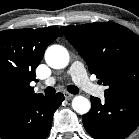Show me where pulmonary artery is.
Masks as SVG:
<instances>
[{"mask_svg": "<svg viewBox=\"0 0 139 139\" xmlns=\"http://www.w3.org/2000/svg\"><path fill=\"white\" fill-rule=\"evenodd\" d=\"M68 74L72 77L75 84L84 92L93 96L103 98L105 88L93 83L87 76L83 64L79 61L74 62L69 68ZM56 79L54 77L48 78L44 84L47 86L53 85Z\"/></svg>", "mask_w": 139, "mask_h": 139, "instance_id": "e3ab8cb5", "label": "pulmonary artery"}]
</instances>
